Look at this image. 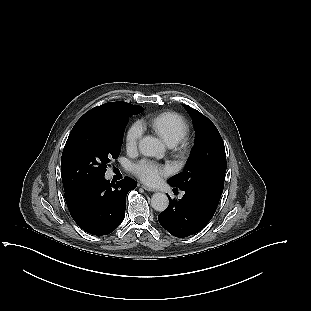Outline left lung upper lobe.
Wrapping results in <instances>:
<instances>
[{
	"label": "left lung upper lobe",
	"instance_id": "5c2ea615",
	"mask_svg": "<svg viewBox=\"0 0 311 311\" xmlns=\"http://www.w3.org/2000/svg\"><path fill=\"white\" fill-rule=\"evenodd\" d=\"M183 106L194 119L197 145L186 168L188 172L171 177L168 183L218 203L223 192L226 171L222 137L210 119L188 105Z\"/></svg>",
	"mask_w": 311,
	"mask_h": 311
}]
</instances>
